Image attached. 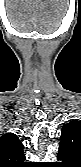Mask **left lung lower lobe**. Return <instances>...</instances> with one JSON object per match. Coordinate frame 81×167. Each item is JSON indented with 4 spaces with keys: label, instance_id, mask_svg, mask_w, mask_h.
<instances>
[{
    "label": "left lung lower lobe",
    "instance_id": "obj_1",
    "mask_svg": "<svg viewBox=\"0 0 81 167\" xmlns=\"http://www.w3.org/2000/svg\"><path fill=\"white\" fill-rule=\"evenodd\" d=\"M57 158L58 160H62V162H57V167H76L69 163L66 157L60 152H58Z\"/></svg>",
    "mask_w": 81,
    "mask_h": 167
}]
</instances>
